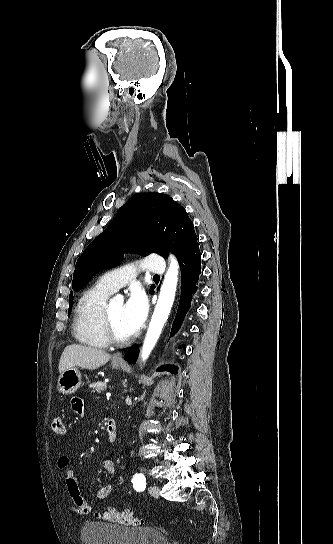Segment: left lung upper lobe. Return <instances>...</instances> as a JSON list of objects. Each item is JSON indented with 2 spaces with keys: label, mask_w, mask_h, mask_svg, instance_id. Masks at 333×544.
Returning <instances> with one entry per match:
<instances>
[{
  "label": "left lung upper lobe",
  "mask_w": 333,
  "mask_h": 544,
  "mask_svg": "<svg viewBox=\"0 0 333 544\" xmlns=\"http://www.w3.org/2000/svg\"><path fill=\"white\" fill-rule=\"evenodd\" d=\"M197 240L185 208L171 197L157 192L136 194L79 257L72 287L77 291L99 271L119 264L125 252L144 256L157 253L168 258L170 247L180 262L198 247ZM154 288L152 285L150 293ZM69 299L68 315L72 292Z\"/></svg>",
  "instance_id": "1"
}]
</instances>
